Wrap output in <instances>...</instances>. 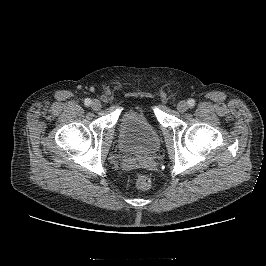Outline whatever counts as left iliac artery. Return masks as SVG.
Here are the masks:
<instances>
[{
  "mask_svg": "<svg viewBox=\"0 0 266 266\" xmlns=\"http://www.w3.org/2000/svg\"><path fill=\"white\" fill-rule=\"evenodd\" d=\"M188 104L192 107L195 105V100L194 99H189Z\"/></svg>",
  "mask_w": 266,
  "mask_h": 266,
  "instance_id": "left-iliac-artery-1",
  "label": "left iliac artery"
}]
</instances>
